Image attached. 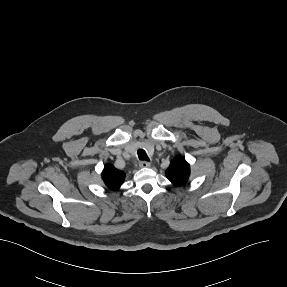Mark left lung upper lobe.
<instances>
[{
	"mask_svg": "<svg viewBox=\"0 0 287 287\" xmlns=\"http://www.w3.org/2000/svg\"><path fill=\"white\" fill-rule=\"evenodd\" d=\"M166 177L177 186L184 185L190 175V166L182 156L175 157L166 170Z\"/></svg>",
	"mask_w": 287,
	"mask_h": 287,
	"instance_id": "left-lung-upper-lobe-1",
	"label": "left lung upper lobe"
}]
</instances>
